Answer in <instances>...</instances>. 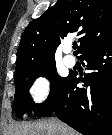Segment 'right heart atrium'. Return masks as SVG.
<instances>
[{"label":"right heart atrium","instance_id":"obj_1","mask_svg":"<svg viewBox=\"0 0 112 135\" xmlns=\"http://www.w3.org/2000/svg\"><path fill=\"white\" fill-rule=\"evenodd\" d=\"M50 94L49 80L44 76H39L29 87L28 96L33 104L39 105L47 100Z\"/></svg>","mask_w":112,"mask_h":135}]
</instances>
